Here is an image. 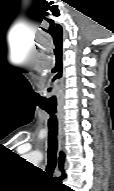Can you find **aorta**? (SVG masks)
Masks as SVG:
<instances>
[{
	"label": "aorta",
	"instance_id": "aorta-1",
	"mask_svg": "<svg viewBox=\"0 0 114 191\" xmlns=\"http://www.w3.org/2000/svg\"><path fill=\"white\" fill-rule=\"evenodd\" d=\"M29 160L34 161V162H38L41 159L40 154L33 152L28 156Z\"/></svg>",
	"mask_w": 114,
	"mask_h": 191
}]
</instances>
